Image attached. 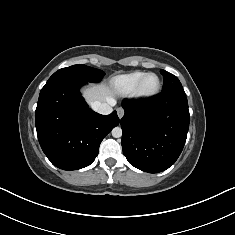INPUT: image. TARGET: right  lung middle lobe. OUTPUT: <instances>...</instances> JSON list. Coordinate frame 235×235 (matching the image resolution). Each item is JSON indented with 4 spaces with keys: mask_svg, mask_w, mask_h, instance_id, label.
Segmentation results:
<instances>
[{
    "mask_svg": "<svg viewBox=\"0 0 235 235\" xmlns=\"http://www.w3.org/2000/svg\"><path fill=\"white\" fill-rule=\"evenodd\" d=\"M104 74L102 70L78 64L58 70L49 78L48 82L56 79L70 78L81 79L86 82H99Z\"/></svg>",
    "mask_w": 235,
    "mask_h": 235,
    "instance_id": "right-lung-middle-lobe-1",
    "label": "right lung middle lobe"
}]
</instances>
